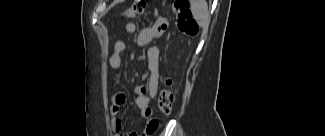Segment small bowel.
<instances>
[{
	"mask_svg": "<svg viewBox=\"0 0 325 136\" xmlns=\"http://www.w3.org/2000/svg\"><path fill=\"white\" fill-rule=\"evenodd\" d=\"M165 24L158 22L154 26L146 27L137 35V44L140 47H148L149 44L161 37L165 31ZM137 26L134 23H127L124 30L127 34H134ZM126 51L124 41L117 40L113 45V52L109 58V64L113 69H119L122 65V55ZM148 68L150 71L149 79L146 84L136 86L133 89L135 96V105L140 110L142 117L146 120V126L143 136L154 133L158 128V120L152 115L151 100L155 97L159 84V51L156 47L148 48ZM126 101V94L123 92L116 93L113 96L111 104V114L114 116L112 120V129L117 135L122 136H138L135 131L123 132V123L116 116L119 114L121 107Z\"/></svg>",
	"mask_w": 325,
	"mask_h": 136,
	"instance_id": "1",
	"label": "small bowel"
}]
</instances>
